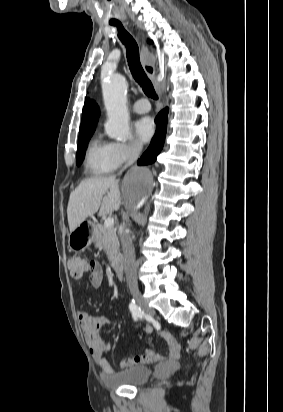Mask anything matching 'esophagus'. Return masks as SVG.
I'll use <instances>...</instances> for the list:
<instances>
[{"mask_svg": "<svg viewBox=\"0 0 283 412\" xmlns=\"http://www.w3.org/2000/svg\"><path fill=\"white\" fill-rule=\"evenodd\" d=\"M141 61H142V65H143V68L146 74L153 81V83L155 84L159 92V84L155 79V76H156L155 63L149 58L148 49L145 46H142L141 48Z\"/></svg>", "mask_w": 283, "mask_h": 412, "instance_id": "34e87169", "label": "esophagus"}]
</instances>
